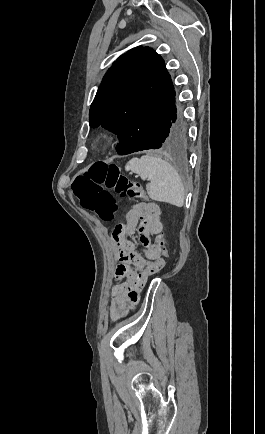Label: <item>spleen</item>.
Masks as SVG:
<instances>
[{"instance_id": "spleen-1", "label": "spleen", "mask_w": 265, "mask_h": 434, "mask_svg": "<svg viewBox=\"0 0 265 434\" xmlns=\"http://www.w3.org/2000/svg\"><path fill=\"white\" fill-rule=\"evenodd\" d=\"M127 172L138 174L142 180H150L147 188L148 196L155 202H167L172 206H184V186L173 166L161 160L159 156H142L132 158L125 166Z\"/></svg>"}]
</instances>
